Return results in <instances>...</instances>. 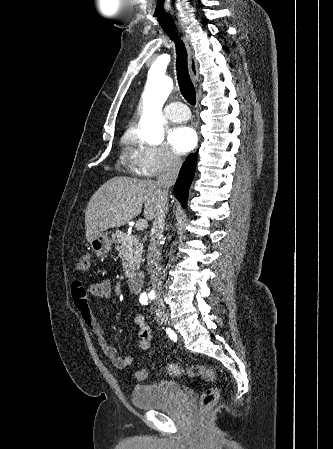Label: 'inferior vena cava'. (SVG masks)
<instances>
[{
    "label": "inferior vena cava",
    "instance_id": "602c4592",
    "mask_svg": "<svg viewBox=\"0 0 333 449\" xmlns=\"http://www.w3.org/2000/svg\"><path fill=\"white\" fill-rule=\"evenodd\" d=\"M181 165L182 160L178 156L174 154L169 155L167 165L162 174L158 177V184L163 191V199L158 206L156 216L153 221L147 255L148 272L150 275L151 284L157 294L161 293L163 283L162 268L160 264V242L162 240L165 214L167 211L168 190L176 182Z\"/></svg>",
    "mask_w": 333,
    "mask_h": 449
}]
</instances>
